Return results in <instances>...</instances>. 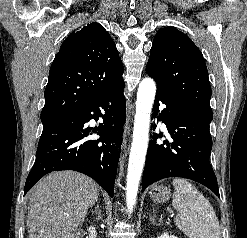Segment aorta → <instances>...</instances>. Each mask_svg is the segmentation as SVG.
Here are the masks:
<instances>
[{"label":"aorta","mask_w":247,"mask_h":238,"mask_svg":"<svg viewBox=\"0 0 247 238\" xmlns=\"http://www.w3.org/2000/svg\"><path fill=\"white\" fill-rule=\"evenodd\" d=\"M156 94V84L151 78H144L138 87L133 141L129 155L126 203L131 212L137 198L149 140L150 114Z\"/></svg>","instance_id":"762f6f07"}]
</instances>
